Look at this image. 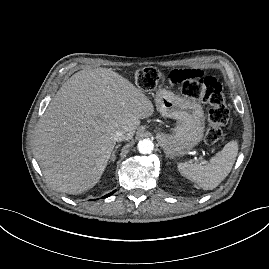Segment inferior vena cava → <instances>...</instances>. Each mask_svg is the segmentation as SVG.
<instances>
[{"mask_svg":"<svg viewBox=\"0 0 269 269\" xmlns=\"http://www.w3.org/2000/svg\"><path fill=\"white\" fill-rule=\"evenodd\" d=\"M114 140L117 142L127 140V133L125 130H117L114 134Z\"/></svg>","mask_w":269,"mask_h":269,"instance_id":"602c4592","label":"inferior vena cava"}]
</instances>
